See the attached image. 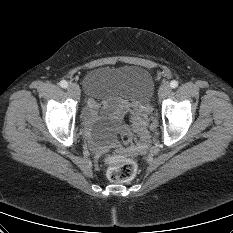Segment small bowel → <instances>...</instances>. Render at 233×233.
<instances>
[{
    "label": "small bowel",
    "mask_w": 233,
    "mask_h": 233,
    "mask_svg": "<svg viewBox=\"0 0 233 233\" xmlns=\"http://www.w3.org/2000/svg\"><path fill=\"white\" fill-rule=\"evenodd\" d=\"M89 108H90V109H94V108H95V104H94L93 102H90V103H89Z\"/></svg>",
    "instance_id": "c3829d8e"
}]
</instances>
